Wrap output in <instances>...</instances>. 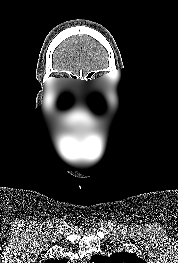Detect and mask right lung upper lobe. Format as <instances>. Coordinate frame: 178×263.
<instances>
[{"label":"right lung upper lobe","mask_w":178,"mask_h":263,"mask_svg":"<svg viewBox=\"0 0 178 263\" xmlns=\"http://www.w3.org/2000/svg\"><path fill=\"white\" fill-rule=\"evenodd\" d=\"M44 263H65L64 260H58V259H50L45 261Z\"/></svg>","instance_id":"1"}]
</instances>
